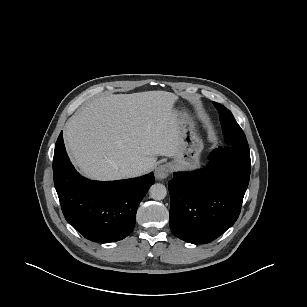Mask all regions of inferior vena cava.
Returning a JSON list of instances; mask_svg holds the SVG:
<instances>
[{
	"label": "inferior vena cava",
	"mask_w": 307,
	"mask_h": 307,
	"mask_svg": "<svg viewBox=\"0 0 307 307\" xmlns=\"http://www.w3.org/2000/svg\"><path fill=\"white\" fill-rule=\"evenodd\" d=\"M145 171H146V167H144V166H136V167L125 169L124 170V174L126 175V177H134V176L141 175Z\"/></svg>",
	"instance_id": "obj_1"
}]
</instances>
